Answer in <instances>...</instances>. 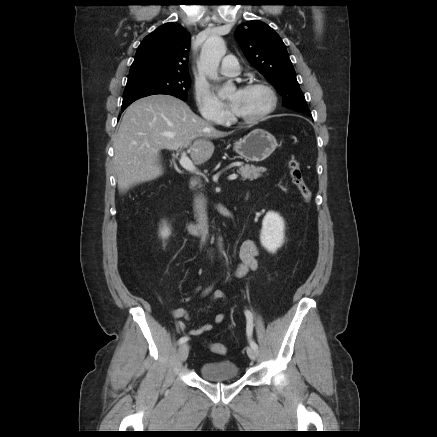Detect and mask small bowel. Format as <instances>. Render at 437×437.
Returning <instances> with one entry per match:
<instances>
[{"mask_svg": "<svg viewBox=\"0 0 437 437\" xmlns=\"http://www.w3.org/2000/svg\"><path fill=\"white\" fill-rule=\"evenodd\" d=\"M258 255L259 248L257 244L252 240L243 242L240 247V264L237 268L238 275H244L249 270H255L258 267ZM213 300H224L225 295L222 291H215L212 295ZM172 315L177 319H184L185 321L190 319V316L185 308H175L172 310ZM225 319V315L220 313L214 318V323H206L198 328L189 329L185 321L178 322V328L183 333H188L192 336H198L205 332H209L214 328L215 324H220Z\"/></svg>", "mask_w": 437, "mask_h": 437, "instance_id": "1", "label": "small bowel"}]
</instances>
